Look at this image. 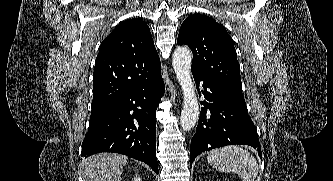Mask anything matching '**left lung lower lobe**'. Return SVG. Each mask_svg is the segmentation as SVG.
<instances>
[{
    "label": "left lung lower lobe",
    "instance_id": "0a47b994",
    "mask_svg": "<svg viewBox=\"0 0 333 181\" xmlns=\"http://www.w3.org/2000/svg\"><path fill=\"white\" fill-rule=\"evenodd\" d=\"M199 86L203 81L204 100L196 133L191 140L190 161L204 151L230 144L250 145L262 158L257 130L247 112L244 100L234 96L225 86L192 73ZM209 111V112H207Z\"/></svg>",
    "mask_w": 333,
    "mask_h": 181
}]
</instances>
